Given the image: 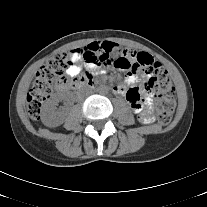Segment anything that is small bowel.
Masks as SVG:
<instances>
[{
	"mask_svg": "<svg viewBox=\"0 0 207 207\" xmlns=\"http://www.w3.org/2000/svg\"><path fill=\"white\" fill-rule=\"evenodd\" d=\"M80 56L77 52L72 53L71 64L66 70V73L72 77H77L81 72L79 65ZM93 75L103 73V71L96 70L93 66H88ZM149 72H144L143 75L148 76ZM146 82L141 79L139 71L128 70L124 82L116 85L113 91L117 95L125 96L130 108L134 113L139 115L141 121L150 123L154 119L153 115V101L152 97L147 91Z\"/></svg>",
	"mask_w": 207,
	"mask_h": 207,
	"instance_id": "small-bowel-1",
	"label": "small bowel"
}]
</instances>
